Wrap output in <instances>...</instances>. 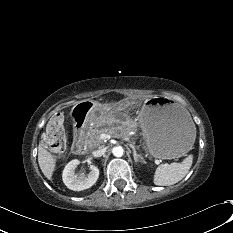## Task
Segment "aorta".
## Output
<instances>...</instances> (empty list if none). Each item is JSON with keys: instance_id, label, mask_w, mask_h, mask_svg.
<instances>
[{"instance_id": "obj_1", "label": "aorta", "mask_w": 233, "mask_h": 233, "mask_svg": "<svg viewBox=\"0 0 233 233\" xmlns=\"http://www.w3.org/2000/svg\"><path fill=\"white\" fill-rule=\"evenodd\" d=\"M112 152L115 157H122L124 154V149L121 146H116L113 148Z\"/></svg>"}]
</instances>
